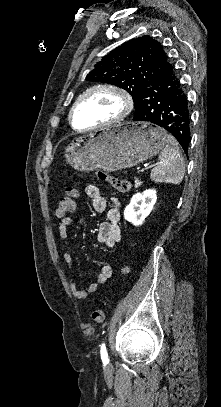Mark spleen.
<instances>
[{"label": "spleen", "instance_id": "spleen-1", "mask_svg": "<svg viewBox=\"0 0 221 407\" xmlns=\"http://www.w3.org/2000/svg\"><path fill=\"white\" fill-rule=\"evenodd\" d=\"M166 146L159 155V164L152 169L150 177L155 182L180 184L185 173V161L174 137L166 135Z\"/></svg>", "mask_w": 221, "mask_h": 407}]
</instances>
